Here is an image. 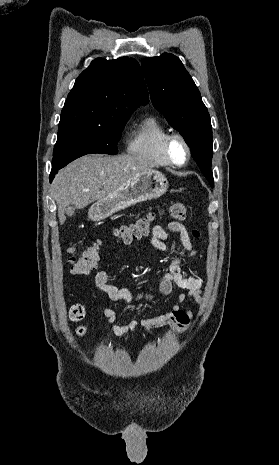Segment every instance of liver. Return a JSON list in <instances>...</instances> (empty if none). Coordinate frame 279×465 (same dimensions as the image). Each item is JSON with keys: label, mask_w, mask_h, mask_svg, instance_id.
<instances>
[{"label": "liver", "mask_w": 279, "mask_h": 465, "mask_svg": "<svg viewBox=\"0 0 279 465\" xmlns=\"http://www.w3.org/2000/svg\"><path fill=\"white\" fill-rule=\"evenodd\" d=\"M152 167L148 159L136 155L91 154L73 161L58 172L52 183L60 224L66 220L68 207L82 209Z\"/></svg>", "instance_id": "liver-1"}]
</instances>
